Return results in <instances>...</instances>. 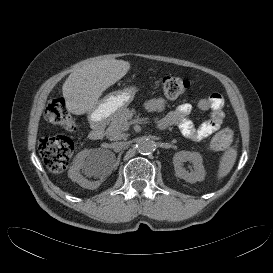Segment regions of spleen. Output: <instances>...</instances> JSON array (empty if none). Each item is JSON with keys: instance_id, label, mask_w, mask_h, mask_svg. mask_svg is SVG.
Wrapping results in <instances>:
<instances>
[{"instance_id": "1", "label": "spleen", "mask_w": 273, "mask_h": 273, "mask_svg": "<svg viewBox=\"0 0 273 273\" xmlns=\"http://www.w3.org/2000/svg\"><path fill=\"white\" fill-rule=\"evenodd\" d=\"M236 158L237 150L235 148H229L225 151L219 163V169L217 172L218 179H221L229 174L235 164Z\"/></svg>"}]
</instances>
